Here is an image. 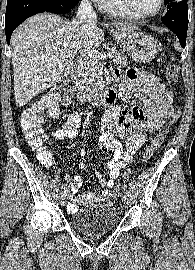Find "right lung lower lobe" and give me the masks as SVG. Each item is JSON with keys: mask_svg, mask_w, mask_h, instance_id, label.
<instances>
[{"mask_svg": "<svg viewBox=\"0 0 195 270\" xmlns=\"http://www.w3.org/2000/svg\"><path fill=\"white\" fill-rule=\"evenodd\" d=\"M80 0H73L76 5ZM60 0H7L5 33L9 45L14 29L28 17L42 12L56 13Z\"/></svg>", "mask_w": 195, "mask_h": 270, "instance_id": "right-lung-lower-lobe-1", "label": "right lung lower lobe"}]
</instances>
